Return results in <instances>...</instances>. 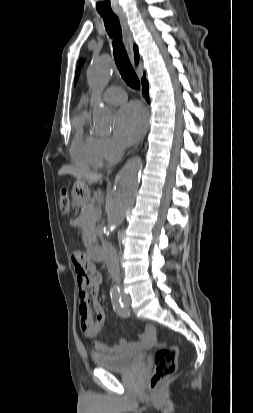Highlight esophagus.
<instances>
[{
	"label": "esophagus",
	"instance_id": "esophagus-1",
	"mask_svg": "<svg viewBox=\"0 0 253 413\" xmlns=\"http://www.w3.org/2000/svg\"><path fill=\"white\" fill-rule=\"evenodd\" d=\"M117 15H118V18L122 26L127 54L129 58L133 61L134 59L133 38H132L131 30L127 22L126 15L123 12H118Z\"/></svg>",
	"mask_w": 253,
	"mask_h": 413
}]
</instances>
